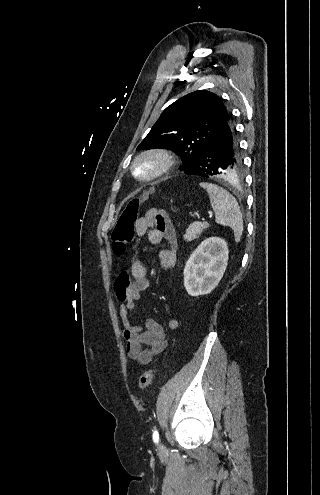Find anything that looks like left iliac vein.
Returning a JSON list of instances; mask_svg holds the SVG:
<instances>
[{
    "label": "left iliac vein",
    "instance_id": "left-iliac-vein-1",
    "mask_svg": "<svg viewBox=\"0 0 320 495\" xmlns=\"http://www.w3.org/2000/svg\"><path fill=\"white\" fill-rule=\"evenodd\" d=\"M158 448H159L160 451H162L164 449V445L160 443L159 446H158Z\"/></svg>",
    "mask_w": 320,
    "mask_h": 495
}]
</instances>
